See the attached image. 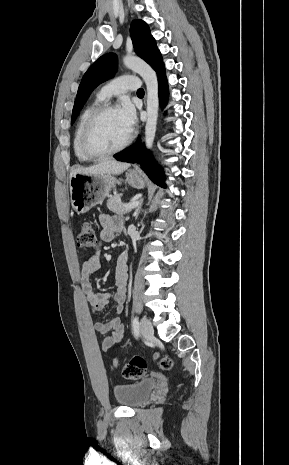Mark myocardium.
Instances as JSON below:
<instances>
[{
    "instance_id": "f54148a6",
    "label": "myocardium",
    "mask_w": 289,
    "mask_h": 465,
    "mask_svg": "<svg viewBox=\"0 0 289 465\" xmlns=\"http://www.w3.org/2000/svg\"><path fill=\"white\" fill-rule=\"evenodd\" d=\"M115 110L117 109L114 106L108 105V104L98 106L86 120L84 128H83V132H82L81 147H82L83 153L87 157L91 159H99V158L111 156V155H114V154H117L123 151L125 148H127L130 145L132 141L131 134L121 145L115 148H112V149L100 150L94 144V135H95V130H96L98 121L104 114L110 111H115Z\"/></svg>"
}]
</instances>
